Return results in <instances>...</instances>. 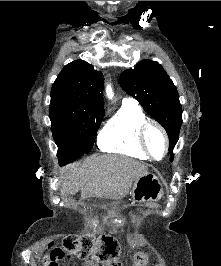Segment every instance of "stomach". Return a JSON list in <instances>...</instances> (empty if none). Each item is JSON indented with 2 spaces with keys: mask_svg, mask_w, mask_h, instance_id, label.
<instances>
[{
  "mask_svg": "<svg viewBox=\"0 0 221 266\" xmlns=\"http://www.w3.org/2000/svg\"><path fill=\"white\" fill-rule=\"evenodd\" d=\"M130 194L135 202H156L161 199L163 189L158 177L147 172L134 181Z\"/></svg>",
  "mask_w": 221,
  "mask_h": 266,
  "instance_id": "1",
  "label": "stomach"
}]
</instances>
